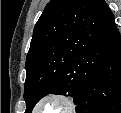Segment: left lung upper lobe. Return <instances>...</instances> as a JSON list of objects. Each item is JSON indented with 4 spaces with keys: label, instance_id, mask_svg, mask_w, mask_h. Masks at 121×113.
Here are the masks:
<instances>
[{
    "label": "left lung upper lobe",
    "instance_id": "5c2ea615",
    "mask_svg": "<svg viewBox=\"0 0 121 113\" xmlns=\"http://www.w3.org/2000/svg\"><path fill=\"white\" fill-rule=\"evenodd\" d=\"M118 33L104 0H51L34 27L26 57V113L50 93L76 103Z\"/></svg>",
    "mask_w": 121,
    "mask_h": 113
}]
</instances>
